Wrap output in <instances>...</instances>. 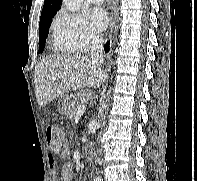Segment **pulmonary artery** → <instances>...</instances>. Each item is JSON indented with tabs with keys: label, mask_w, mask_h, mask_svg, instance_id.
<instances>
[{
	"label": "pulmonary artery",
	"mask_w": 197,
	"mask_h": 181,
	"mask_svg": "<svg viewBox=\"0 0 197 181\" xmlns=\"http://www.w3.org/2000/svg\"><path fill=\"white\" fill-rule=\"evenodd\" d=\"M94 4H102L104 2V0H91Z\"/></svg>",
	"instance_id": "obj_1"
}]
</instances>
